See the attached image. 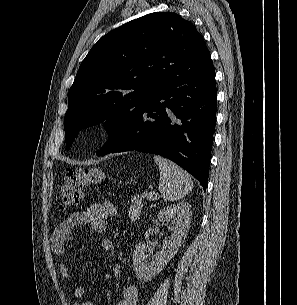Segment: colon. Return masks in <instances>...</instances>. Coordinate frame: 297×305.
<instances>
[{"instance_id": "1", "label": "colon", "mask_w": 297, "mask_h": 305, "mask_svg": "<svg viewBox=\"0 0 297 305\" xmlns=\"http://www.w3.org/2000/svg\"><path fill=\"white\" fill-rule=\"evenodd\" d=\"M103 178L104 173L100 168L68 170L60 187L62 208L78 206L82 200V188L98 184Z\"/></svg>"}]
</instances>
